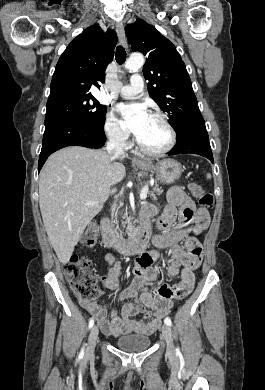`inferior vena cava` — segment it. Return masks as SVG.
Returning <instances> with one entry per match:
<instances>
[{
	"mask_svg": "<svg viewBox=\"0 0 265 390\" xmlns=\"http://www.w3.org/2000/svg\"><path fill=\"white\" fill-rule=\"evenodd\" d=\"M106 150L110 156H124L123 143L116 138L110 137L106 145Z\"/></svg>",
	"mask_w": 265,
	"mask_h": 390,
	"instance_id": "1",
	"label": "inferior vena cava"
}]
</instances>
